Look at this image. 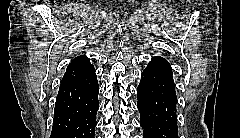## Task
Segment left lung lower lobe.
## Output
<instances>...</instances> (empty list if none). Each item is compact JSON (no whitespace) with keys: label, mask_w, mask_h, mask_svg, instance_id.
<instances>
[{"label":"left lung lower lobe","mask_w":240,"mask_h":138,"mask_svg":"<svg viewBox=\"0 0 240 138\" xmlns=\"http://www.w3.org/2000/svg\"><path fill=\"white\" fill-rule=\"evenodd\" d=\"M170 64L153 57L142 72L137 107L144 138H177L176 94Z\"/></svg>","instance_id":"obj_1"}]
</instances>
